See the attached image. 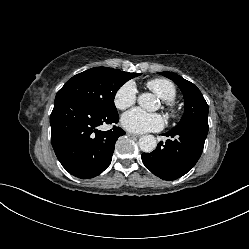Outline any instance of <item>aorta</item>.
I'll return each instance as SVG.
<instances>
[{"mask_svg":"<svg viewBox=\"0 0 249 249\" xmlns=\"http://www.w3.org/2000/svg\"><path fill=\"white\" fill-rule=\"evenodd\" d=\"M154 97L150 93H143L138 97V104L144 109H150L153 106ZM157 142L153 135H143L139 139V147L145 153H150L156 149Z\"/></svg>","mask_w":249,"mask_h":249,"instance_id":"1","label":"aorta"}]
</instances>
